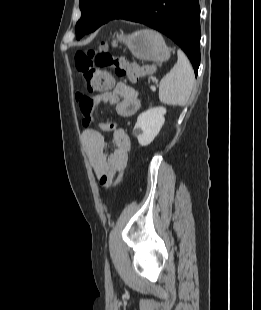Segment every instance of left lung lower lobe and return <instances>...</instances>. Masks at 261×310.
<instances>
[{
  "instance_id": "0a47b994",
  "label": "left lung lower lobe",
  "mask_w": 261,
  "mask_h": 310,
  "mask_svg": "<svg viewBox=\"0 0 261 310\" xmlns=\"http://www.w3.org/2000/svg\"><path fill=\"white\" fill-rule=\"evenodd\" d=\"M118 18L145 24L171 38L187 54L197 75L200 64L199 0H132L128 10ZM101 25L92 24L86 34Z\"/></svg>"
}]
</instances>
